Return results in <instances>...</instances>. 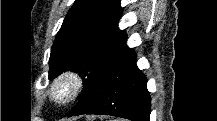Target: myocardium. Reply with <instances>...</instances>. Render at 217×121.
I'll list each match as a JSON object with an SVG mask.
<instances>
[{"mask_svg":"<svg viewBox=\"0 0 217 121\" xmlns=\"http://www.w3.org/2000/svg\"><path fill=\"white\" fill-rule=\"evenodd\" d=\"M83 86L84 79L78 72L67 71L53 81L49 97L56 105L63 106L74 100Z\"/></svg>","mask_w":217,"mask_h":121,"instance_id":"obj_1","label":"myocardium"}]
</instances>
